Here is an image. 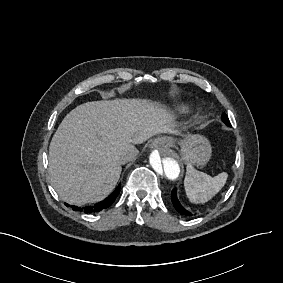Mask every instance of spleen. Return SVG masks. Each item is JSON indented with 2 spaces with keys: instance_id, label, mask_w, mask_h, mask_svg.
Wrapping results in <instances>:
<instances>
[{
  "instance_id": "obj_1",
  "label": "spleen",
  "mask_w": 283,
  "mask_h": 283,
  "mask_svg": "<svg viewBox=\"0 0 283 283\" xmlns=\"http://www.w3.org/2000/svg\"><path fill=\"white\" fill-rule=\"evenodd\" d=\"M227 173L221 172L212 177L198 171L191 164L187 165L185 190L191 202H206L214 196L225 184Z\"/></svg>"
}]
</instances>
